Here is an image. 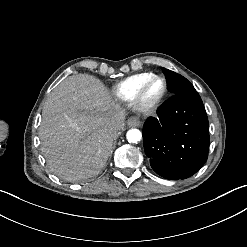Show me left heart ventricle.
<instances>
[{"instance_id":"left-heart-ventricle-1","label":"left heart ventricle","mask_w":247,"mask_h":247,"mask_svg":"<svg viewBox=\"0 0 247 247\" xmlns=\"http://www.w3.org/2000/svg\"><path fill=\"white\" fill-rule=\"evenodd\" d=\"M164 83L162 81H154L145 91V100L151 102L155 100L163 91Z\"/></svg>"}]
</instances>
